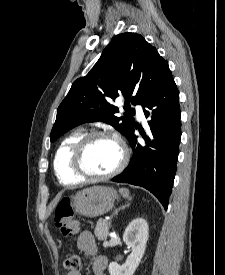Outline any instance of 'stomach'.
<instances>
[{"label": "stomach", "mask_w": 225, "mask_h": 275, "mask_svg": "<svg viewBox=\"0 0 225 275\" xmlns=\"http://www.w3.org/2000/svg\"><path fill=\"white\" fill-rule=\"evenodd\" d=\"M117 197V192L113 188L93 186L75 195L73 208L82 216L94 218L109 212Z\"/></svg>", "instance_id": "stomach-1"}]
</instances>
